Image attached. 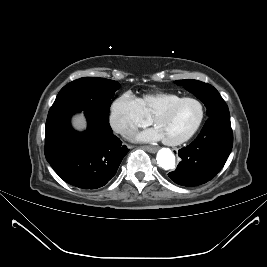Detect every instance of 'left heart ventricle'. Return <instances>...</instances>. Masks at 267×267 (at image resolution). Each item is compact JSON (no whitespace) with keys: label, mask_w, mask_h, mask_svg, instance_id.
<instances>
[{"label":"left heart ventricle","mask_w":267,"mask_h":267,"mask_svg":"<svg viewBox=\"0 0 267 267\" xmlns=\"http://www.w3.org/2000/svg\"><path fill=\"white\" fill-rule=\"evenodd\" d=\"M200 108L193 101H186L170 113L158 118L155 126L163 139L174 140L187 134L199 118Z\"/></svg>","instance_id":"left-heart-ventricle-1"}]
</instances>
